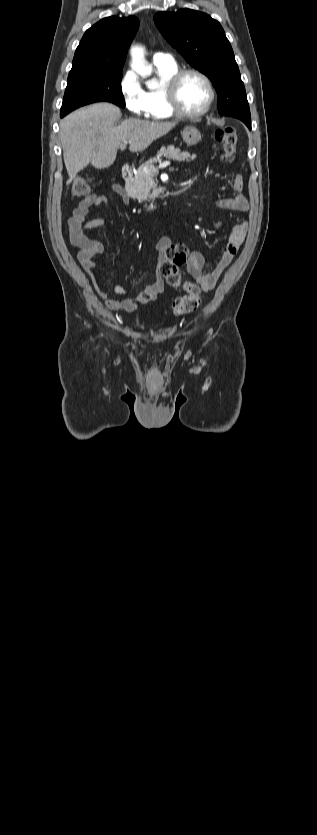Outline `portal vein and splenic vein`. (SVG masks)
<instances>
[{"label":"portal vein and splenic vein","instance_id":"obj_1","mask_svg":"<svg viewBox=\"0 0 317 835\" xmlns=\"http://www.w3.org/2000/svg\"><path fill=\"white\" fill-rule=\"evenodd\" d=\"M126 145H127V141L123 142L120 145V148L122 150H124L126 148ZM170 164L171 163L169 161H165V162L160 163L158 167L144 168L143 170H144V172L158 171L161 168H166V167L170 166Z\"/></svg>","mask_w":317,"mask_h":835}]
</instances>
